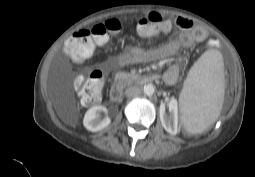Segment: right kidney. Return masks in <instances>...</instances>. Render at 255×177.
<instances>
[{"instance_id":"right-kidney-1","label":"right kidney","mask_w":255,"mask_h":177,"mask_svg":"<svg viewBox=\"0 0 255 177\" xmlns=\"http://www.w3.org/2000/svg\"><path fill=\"white\" fill-rule=\"evenodd\" d=\"M102 112H107L106 107L101 105L91 107L85 113L83 120L84 127L91 132H97L106 128L111 123V119L108 116L101 119Z\"/></svg>"}]
</instances>
